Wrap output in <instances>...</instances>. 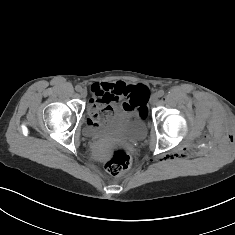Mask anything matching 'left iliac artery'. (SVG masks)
Returning <instances> with one entry per match:
<instances>
[{
    "mask_svg": "<svg viewBox=\"0 0 235 235\" xmlns=\"http://www.w3.org/2000/svg\"><path fill=\"white\" fill-rule=\"evenodd\" d=\"M157 95H158V97H162L164 95V91L163 90H159L157 92Z\"/></svg>",
    "mask_w": 235,
    "mask_h": 235,
    "instance_id": "left-iliac-artery-1",
    "label": "left iliac artery"
}]
</instances>
